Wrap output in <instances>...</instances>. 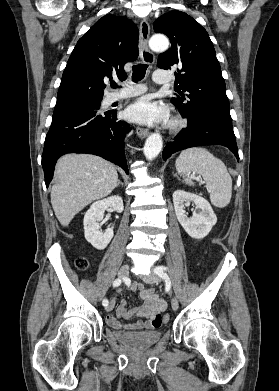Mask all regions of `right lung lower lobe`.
Returning <instances> with one entry per match:
<instances>
[{"label": "right lung lower lobe", "mask_w": 279, "mask_h": 391, "mask_svg": "<svg viewBox=\"0 0 279 391\" xmlns=\"http://www.w3.org/2000/svg\"><path fill=\"white\" fill-rule=\"evenodd\" d=\"M129 130L128 124L117 120L115 111L76 109L54 113L42 155L46 187L53 178L57 159L67 152L101 156L128 173L124 137Z\"/></svg>", "instance_id": "1"}]
</instances>
